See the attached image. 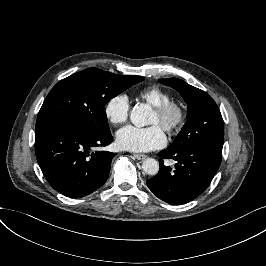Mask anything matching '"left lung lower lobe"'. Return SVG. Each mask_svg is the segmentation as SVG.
<instances>
[{
    "mask_svg": "<svg viewBox=\"0 0 266 266\" xmlns=\"http://www.w3.org/2000/svg\"><path fill=\"white\" fill-rule=\"evenodd\" d=\"M221 144L198 142L173 150L165 149L158 153L160 170L147 180L149 189L161 200L182 205L202 194L215 173L222 156ZM164 159H174L175 170L163 164Z\"/></svg>",
    "mask_w": 266,
    "mask_h": 266,
    "instance_id": "1",
    "label": "left lung lower lobe"
}]
</instances>
